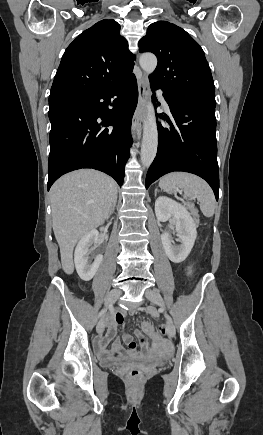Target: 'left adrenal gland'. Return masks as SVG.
Masks as SVG:
<instances>
[{
	"label": "left adrenal gland",
	"instance_id": "obj_1",
	"mask_svg": "<svg viewBox=\"0 0 263 435\" xmlns=\"http://www.w3.org/2000/svg\"><path fill=\"white\" fill-rule=\"evenodd\" d=\"M157 191H158V189H155V196H156V194H157Z\"/></svg>",
	"mask_w": 263,
	"mask_h": 435
}]
</instances>
